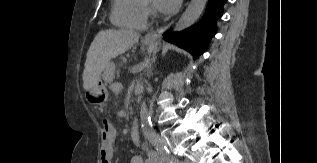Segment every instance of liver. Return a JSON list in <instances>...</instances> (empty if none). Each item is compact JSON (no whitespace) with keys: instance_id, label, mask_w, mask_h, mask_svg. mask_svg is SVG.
<instances>
[{"instance_id":"obj_1","label":"liver","mask_w":317,"mask_h":163,"mask_svg":"<svg viewBox=\"0 0 317 163\" xmlns=\"http://www.w3.org/2000/svg\"><path fill=\"white\" fill-rule=\"evenodd\" d=\"M139 37V33L128 30L100 31L87 52L83 71L84 89L86 91L92 89L100 80L101 73L108 62L130 49L138 42Z\"/></svg>"}]
</instances>
